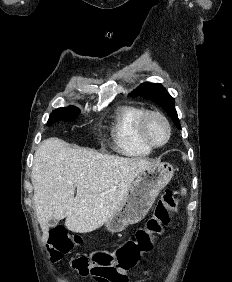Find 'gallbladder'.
<instances>
[{"label": "gallbladder", "instance_id": "1", "mask_svg": "<svg viewBox=\"0 0 232 282\" xmlns=\"http://www.w3.org/2000/svg\"><path fill=\"white\" fill-rule=\"evenodd\" d=\"M58 225V220L56 219H50L48 221V227L49 228H53V227H56Z\"/></svg>", "mask_w": 232, "mask_h": 282}]
</instances>
